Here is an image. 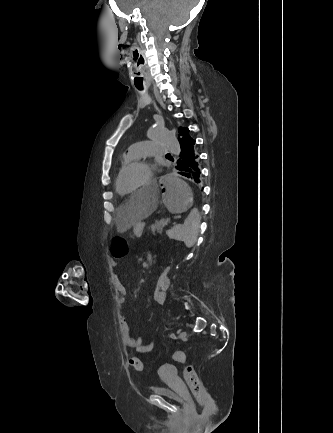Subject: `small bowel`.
Wrapping results in <instances>:
<instances>
[{
  "mask_svg": "<svg viewBox=\"0 0 333 433\" xmlns=\"http://www.w3.org/2000/svg\"><path fill=\"white\" fill-rule=\"evenodd\" d=\"M169 286H170V278L168 274V276L164 280V284L160 288L162 290V295H163L162 304L166 299ZM114 288L118 294L117 303L120 307H123L126 303V289L122 280L119 277L116 279L114 283ZM119 331H120L122 343L125 347L134 349L140 354H144L152 350L153 347L152 339L147 335H140L137 337L134 336L131 332V328L128 321L123 316L119 318Z\"/></svg>",
  "mask_w": 333,
  "mask_h": 433,
  "instance_id": "1",
  "label": "small bowel"
}]
</instances>
